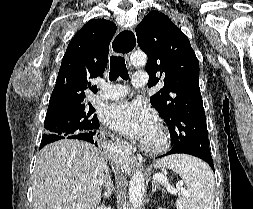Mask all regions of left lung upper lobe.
<instances>
[{"instance_id":"obj_1","label":"left lung upper lobe","mask_w":253,"mask_h":209,"mask_svg":"<svg viewBox=\"0 0 253 209\" xmlns=\"http://www.w3.org/2000/svg\"><path fill=\"white\" fill-rule=\"evenodd\" d=\"M148 60V87L164 86L150 102L168 125L171 150L211 155L199 88V62L187 36L164 14L151 11L136 27Z\"/></svg>"}]
</instances>
